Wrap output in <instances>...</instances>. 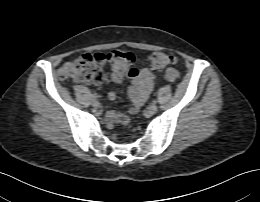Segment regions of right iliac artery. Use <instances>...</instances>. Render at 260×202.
<instances>
[{"label": "right iliac artery", "instance_id": "right-iliac-artery-1", "mask_svg": "<svg viewBox=\"0 0 260 202\" xmlns=\"http://www.w3.org/2000/svg\"><path fill=\"white\" fill-rule=\"evenodd\" d=\"M92 97H93L94 99H96L98 96H97V94H93Z\"/></svg>", "mask_w": 260, "mask_h": 202}]
</instances>
